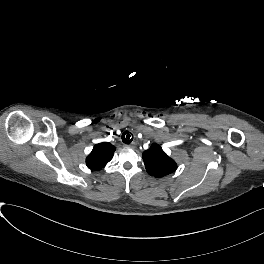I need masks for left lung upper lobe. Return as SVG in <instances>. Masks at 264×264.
I'll use <instances>...</instances> for the list:
<instances>
[{
	"label": "left lung upper lobe",
	"instance_id": "left-lung-upper-lobe-1",
	"mask_svg": "<svg viewBox=\"0 0 264 264\" xmlns=\"http://www.w3.org/2000/svg\"><path fill=\"white\" fill-rule=\"evenodd\" d=\"M146 171L154 177H164L177 169L176 162L167 156L158 144H153L142 154Z\"/></svg>",
	"mask_w": 264,
	"mask_h": 264
}]
</instances>
